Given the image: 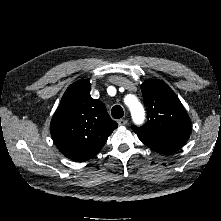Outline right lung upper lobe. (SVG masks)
<instances>
[{"label": "right lung upper lobe", "instance_id": "1", "mask_svg": "<svg viewBox=\"0 0 221 221\" xmlns=\"http://www.w3.org/2000/svg\"><path fill=\"white\" fill-rule=\"evenodd\" d=\"M90 89L88 80L70 85L50 125L60 152L78 162L94 157L118 126L108 115L103 102L90 96Z\"/></svg>", "mask_w": 221, "mask_h": 221}]
</instances>
